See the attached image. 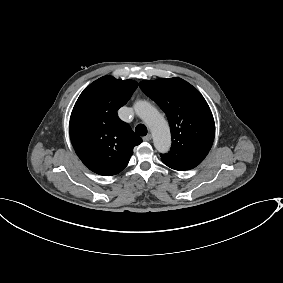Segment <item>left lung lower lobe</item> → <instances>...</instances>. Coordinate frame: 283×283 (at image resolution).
Segmentation results:
<instances>
[{"instance_id": "obj_1", "label": "left lung lower lobe", "mask_w": 283, "mask_h": 283, "mask_svg": "<svg viewBox=\"0 0 283 283\" xmlns=\"http://www.w3.org/2000/svg\"><path fill=\"white\" fill-rule=\"evenodd\" d=\"M162 162H163L164 164H166L167 166H169L170 168H172V169L179 170V171L186 170V169H182V168H179V167H176V166H173V165L167 164V163H165L164 161H162Z\"/></svg>"}]
</instances>
